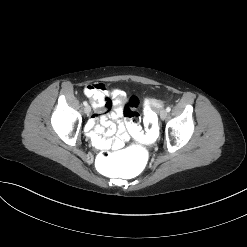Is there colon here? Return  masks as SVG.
<instances>
[{
    "mask_svg": "<svg viewBox=\"0 0 247 247\" xmlns=\"http://www.w3.org/2000/svg\"><path fill=\"white\" fill-rule=\"evenodd\" d=\"M138 99L131 97L125 108L124 116L131 135L136 142L131 143L120 153L103 151L94 158V169L100 175L126 179L139 175L149 163V151L143 145H157L160 141V125L152 111L154 101L142 102V118L147 124L149 134H145L140 126V115L137 111Z\"/></svg>",
    "mask_w": 247,
    "mask_h": 247,
    "instance_id": "colon-1",
    "label": "colon"
}]
</instances>
